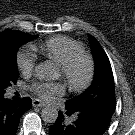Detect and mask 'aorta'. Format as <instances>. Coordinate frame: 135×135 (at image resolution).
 I'll return each mask as SVG.
<instances>
[{
	"label": "aorta",
	"instance_id": "762f6f07",
	"mask_svg": "<svg viewBox=\"0 0 135 135\" xmlns=\"http://www.w3.org/2000/svg\"><path fill=\"white\" fill-rule=\"evenodd\" d=\"M35 75L42 80H54L57 77V72L51 63L43 62L35 67ZM41 116L43 121L54 123L58 118V111L53 106H46L42 109Z\"/></svg>",
	"mask_w": 135,
	"mask_h": 135
}]
</instances>
